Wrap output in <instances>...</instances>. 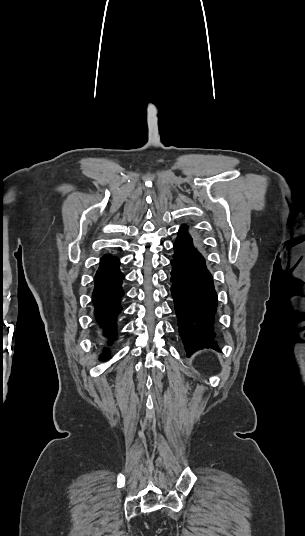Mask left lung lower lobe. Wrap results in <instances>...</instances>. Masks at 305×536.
I'll return each instance as SVG.
<instances>
[{
    "instance_id": "0a47b994",
    "label": "left lung lower lobe",
    "mask_w": 305,
    "mask_h": 536,
    "mask_svg": "<svg viewBox=\"0 0 305 536\" xmlns=\"http://www.w3.org/2000/svg\"><path fill=\"white\" fill-rule=\"evenodd\" d=\"M171 293L178 317L179 335L187 355L203 348L220 351L213 340L217 294L204 257L193 244L186 227H181L171 260Z\"/></svg>"
}]
</instances>
